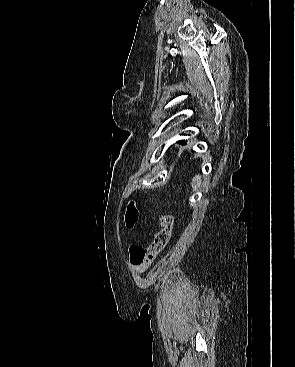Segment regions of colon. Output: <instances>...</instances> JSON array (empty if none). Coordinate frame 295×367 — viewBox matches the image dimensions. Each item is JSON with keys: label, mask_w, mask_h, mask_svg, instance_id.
<instances>
[{"label": "colon", "mask_w": 295, "mask_h": 367, "mask_svg": "<svg viewBox=\"0 0 295 367\" xmlns=\"http://www.w3.org/2000/svg\"><path fill=\"white\" fill-rule=\"evenodd\" d=\"M138 210L134 205H130L125 214V222L128 228H133L138 220ZM175 224V216L166 214L162 217V227L155 234L151 244L142 248L137 245L130 247V261L134 265H150L163 252L170 241L172 229Z\"/></svg>", "instance_id": "5ec220e1"}]
</instances>
